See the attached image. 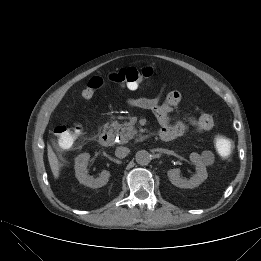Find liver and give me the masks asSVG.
Instances as JSON below:
<instances>
[{
	"mask_svg": "<svg viewBox=\"0 0 261 261\" xmlns=\"http://www.w3.org/2000/svg\"><path fill=\"white\" fill-rule=\"evenodd\" d=\"M47 151H48L47 155H48V161H49L51 171L53 173L54 178L58 179L60 174L59 160L50 145L47 146Z\"/></svg>",
	"mask_w": 261,
	"mask_h": 261,
	"instance_id": "1",
	"label": "liver"
}]
</instances>
